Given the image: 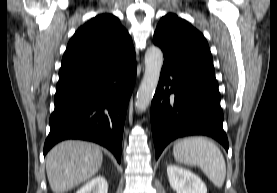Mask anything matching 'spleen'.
Listing matches in <instances>:
<instances>
[{
    "label": "spleen",
    "mask_w": 277,
    "mask_h": 193,
    "mask_svg": "<svg viewBox=\"0 0 277 193\" xmlns=\"http://www.w3.org/2000/svg\"><path fill=\"white\" fill-rule=\"evenodd\" d=\"M177 162L198 166L209 180L221 188L226 177V164L221 150L205 137H188L177 141L173 147Z\"/></svg>",
    "instance_id": "spleen-1"
}]
</instances>
